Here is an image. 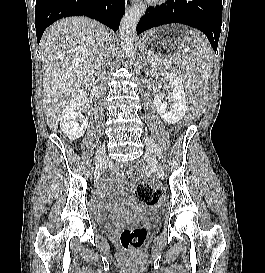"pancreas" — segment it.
I'll return each instance as SVG.
<instances>
[{
	"label": "pancreas",
	"mask_w": 265,
	"mask_h": 273,
	"mask_svg": "<svg viewBox=\"0 0 265 273\" xmlns=\"http://www.w3.org/2000/svg\"><path fill=\"white\" fill-rule=\"evenodd\" d=\"M153 62L155 63H162L164 65H173L176 64L178 61L173 59L172 57H165L164 59L158 57V56H154L153 57Z\"/></svg>",
	"instance_id": "1"
}]
</instances>
